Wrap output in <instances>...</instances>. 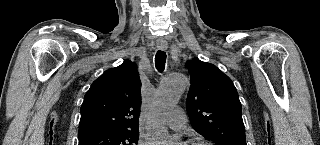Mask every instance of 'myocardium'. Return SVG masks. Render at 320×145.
<instances>
[{
    "mask_svg": "<svg viewBox=\"0 0 320 145\" xmlns=\"http://www.w3.org/2000/svg\"><path fill=\"white\" fill-rule=\"evenodd\" d=\"M184 145H209V144L202 140H190V141H187Z\"/></svg>",
    "mask_w": 320,
    "mask_h": 145,
    "instance_id": "1",
    "label": "myocardium"
}]
</instances>
